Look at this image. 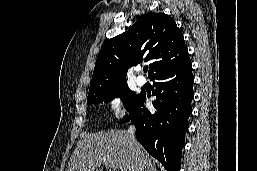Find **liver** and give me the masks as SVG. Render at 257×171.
I'll use <instances>...</instances> for the list:
<instances>
[{"instance_id": "liver-1", "label": "liver", "mask_w": 257, "mask_h": 171, "mask_svg": "<svg viewBox=\"0 0 257 171\" xmlns=\"http://www.w3.org/2000/svg\"><path fill=\"white\" fill-rule=\"evenodd\" d=\"M81 136L82 140L70 158L67 171H95L101 165L108 166L114 171H131L134 147L142 169L154 168L152 159L145 149L137 141L136 145H133L125 131L83 133Z\"/></svg>"}]
</instances>
